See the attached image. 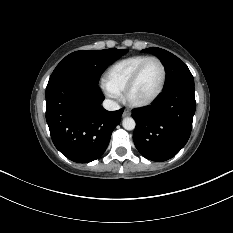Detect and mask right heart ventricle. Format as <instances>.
Instances as JSON below:
<instances>
[{"label": "right heart ventricle", "instance_id": "obj_1", "mask_svg": "<svg viewBox=\"0 0 233 233\" xmlns=\"http://www.w3.org/2000/svg\"><path fill=\"white\" fill-rule=\"evenodd\" d=\"M146 58H148V56L135 55L115 62L106 71L104 82L119 93L124 92L129 78L138 67V65Z\"/></svg>", "mask_w": 233, "mask_h": 233}]
</instances>
